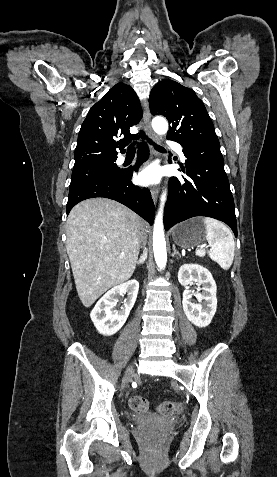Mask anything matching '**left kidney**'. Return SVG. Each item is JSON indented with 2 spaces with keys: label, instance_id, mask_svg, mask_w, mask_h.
<instances>
[{
  "label": "left kidney",
  "instance_id": "left-kidney-1",
  "mask_svg": "<svg viewBox=\"0 0 277 477\" xmlns=\"http://www.w3.org/2000/svg\"><path fill=\"white\" fill-rule=\"evenodd\" d=\"M178 280L185 286L183 292V310L187 319L197 327H207L215 315L217 308V286L208 269L198 264H184L178 272ZM197 282L203 285L202 292L195 295L203 305L192 301V294L188 285Z\"/></svg>",
  "mask_w": 277,
  "mask_h": 477
}]
</instances>
